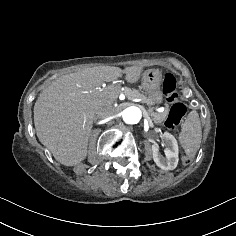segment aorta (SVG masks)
I'll return each instance as SVG.
<instances>
[{"instance_id":"obj_1","label":"aorta","mask_w":236,"mask_h":236,"mask_svg":"<svg viewBox=\"0 0 236 236\" xmlns=\"http://www.w3.org/2000/svg\"><path fill=\"white\" fill-rule=\"evenodd\" d=\"M142 116L141 109L136 106H130L122 111V118L126 124H137Z\"/></svg>"}]
</instances>
